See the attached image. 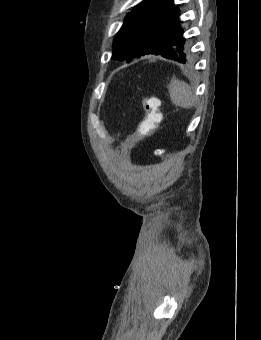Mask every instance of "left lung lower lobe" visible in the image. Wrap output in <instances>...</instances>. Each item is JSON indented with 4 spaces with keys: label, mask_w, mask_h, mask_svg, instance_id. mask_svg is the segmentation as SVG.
<instances>
[{
    "label": "left lung lower lobe",
    "mask_w": 261,
    "mask_h": 340,
    "mask_svg": "<svg viewBox=\"0 0 261 340\" xmlns=\"http://www.w3.org/2000/svg\"><path fill=\"white\" fill-rule=\"evenodd\" d=\"M161 14H163L167 19H177L179 16V9L177 6L173 4V0H167L163 8L161 9ZM156 55H162L165 58L172 59L178 62L185 63L182 59L177 57L172 51L170 50H162L160 53H151Z\"/></svg>",
    "instance_id": "1"
}]
</instances>
